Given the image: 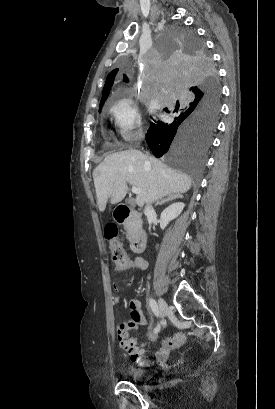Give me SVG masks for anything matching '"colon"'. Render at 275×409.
Returning a JSON list of instances; mask_svg holds the SVG:
<instances>
[{
    "instance_id": "colon-1",
    "label": "colon",
    "mask_w": 275,
    "mask_h": 409,
    "mask_svg": "<svg viewBox=\"0 0 275 409\" xmlns=\"http://www.w3.org/2000/svg\"><path fill=\"white\" fill-rule=\"evenodd\" d=\"M118 232L119 229L116 224H107L104 228V237L108 240L112 253L116 257L115 259L116 268L118 270H126L131 262V259L129 256H124L123 245L116 240ZM133 301L136 300H131L128 304V308ZM186 341H187L186 334L184 332H178L173 337L167 338L164 341V346L167 349H176L183 347L186 344Z\"/></svg>"
}]
</instances>
